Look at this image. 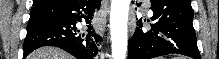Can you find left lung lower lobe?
<instances>
[{
  "instance_id": "1",
  "label": "left lung lower lobe",
  "mask_w": 219,
  "mask_h": 59,
  "mask_svg": "<svg viewBox=\"0 0 219 59\" xmlns=\"http://www.w3.org/2000/svg\"><path fill=\"white\" fill-rule=\"evenodd\" d=\"M153 11L151 29L142 21L129 40L128 59H151L167 54H181L200 59L193 28L190 0H150ZM149 21V20H148Z\"/></svg>"
}]
</instances>
